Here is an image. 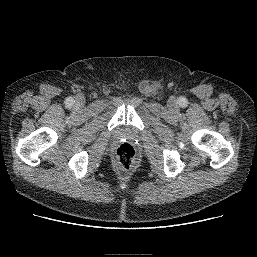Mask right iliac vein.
Masks as SVG:
<instances>
[{
	"instance_id": "obj_1",
	"label": "right iliac vein",
	"mask_w": 257,
	"mask_h": 257,
	"mask_svg": "<svg viewBox=\"0 0 257 257\" xmlns=\"http://www.w3.org/2000/svg\"><path fill=\"white\" fill-rule=\"evenodd\" d=\"M83 104H84V98L81 97V96L77 97V99H76V105L80 107V106H82Z\"/></svg>"
}]
</instances>
